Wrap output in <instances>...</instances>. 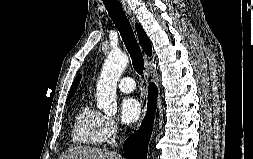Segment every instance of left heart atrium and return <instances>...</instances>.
Segmentation results:
<instances>
[{"label":"left heart atrium","instance_id":"1","mask_svg":"<svg viewBox=\"0 0 253 159\" xmlns=\"http://www.w3.org/2000/svg\"><path fill=\"white\" fill-rule=\"evenodd\" d=\"M142 113L140 102L134 97L124 98L120 104L121 120L127 124L132 125L138 121Z\"/></svg>","mask_w":253,"mask_h":159}]
</instances>
